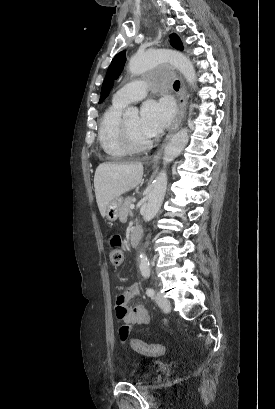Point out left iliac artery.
<instances>
[{
  "instance_id": "left-iliac-artery-1",
  "label": "left iliac artery",
  "mask_w": 275,
  "mask_h": 409,
  "mask_svg": "<svg viewBox=\"0 0 275 409\" xmlns=\"http://www.w3.org/2000/svg\"><path fill=\"white\" fill-rule=\"evenodd\" d=\"M146 294H147L149 297H152V296H154L155 291H154L153 288H148L147 291H146Z\"/></svg>"
}]
</instances>
